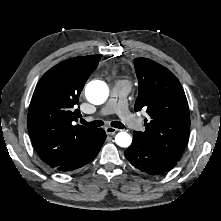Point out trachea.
I'll use <instances>...</instances> for the list:
<instances>
[{
  "label": "trachea",
  "mask_w": 221,
  "mask_h": 221,
  "mask_svg": "<svg viewBox=\"0 0 221 221\" xmlns=\"http://www.w3.org/2000/svg\"><path fill=\"white\" fill-rule=\"evenodd\" d=\"M82 123L88 127H100L104 125V122L102 120H94L91 122H86L82 120ZM111 126L114 128L123 129L124 125L120 121H112Z\"/></svg>",
  "instance_id": "obj_1"
}]
</instances>
